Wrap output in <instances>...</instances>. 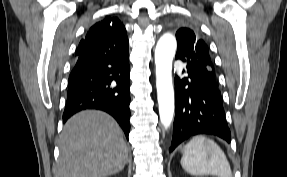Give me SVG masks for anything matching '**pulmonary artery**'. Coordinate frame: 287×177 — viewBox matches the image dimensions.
<instances>
[{"mask_svg":"<svg viewBox=\"0 0 287 177\" xmlns=\"http://www.w3.org/2000/svg\"><path fill=\"white\" fill-rule=\"evenodd\" d=\"M176 64H178V65H179V64H180V61H177V62H176Z\"/></svg>","mask_w":287,"mask_h":177,"instance_id":"obj_1","label":"pulmonary artery"}]
</instances>
